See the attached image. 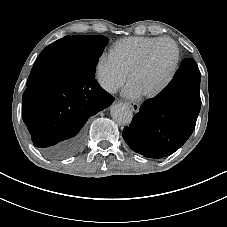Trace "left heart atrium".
I'll use <instances>...</instances> for the list:
<instances>
[{"instance_id":"left-heart-atrium-1","label":"left heart atrium","mask_w":227,"mask_h":227,"mask_svg":"<svg viewBox=\"0 0 227 227\" xmlns=\"http://www.w3.org/2000/svg\"><path fill=\"white\" fill-rule=\"evenodd\" d=\"M123 94L125 97L128 98H138L139 96H141L142 94L136 89V87L134 85H132L131 83L128 84L124 91Z\"/></svg>"}]
</instances>
